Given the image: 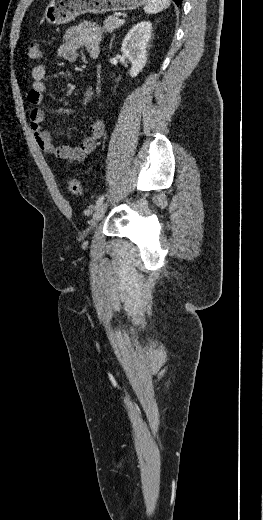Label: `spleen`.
Listing matches in <instances>:
<instances>
[{"label":"spleen","mask_w":263,"mask_h":520,"mask_svg":"<svg viewBox=\"0 0 263 520\" xmlns=\"http://www.w3.org/2000/svg\"><path fill=\"white\" fill-rule=\"evenodd\" d=\"M169 5L170 0H147L144 12L147 14H155L166 9Z\"/></svg>","instance_id":"1"}]
</instances>
